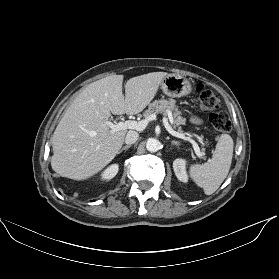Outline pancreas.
Masks as SVG:
<instances>
[{"label": "pancreas", "mask_w": 279, "mask_h": 279, "mask_svg": "<svg viewBox=\"0 0 279 279\" xmlns=\"http://www.w3.org/2000/svg\"><path fill=\"white\" fill-rule=\"evenodd\" d=\"M158 113H161L165 116L171 114L174 118L173 126L178 127V131L181 132L180 124L184 122V119L179 115L180 112L175 104V100L160 99V100L153 101L149 105L148 109L144 112V116L148 117L150 115L158 114Z\"/></svg>", "instance_id": "pancreas-1"}]
</instances>
